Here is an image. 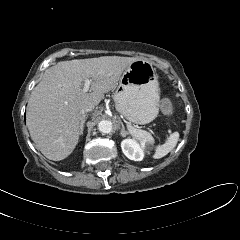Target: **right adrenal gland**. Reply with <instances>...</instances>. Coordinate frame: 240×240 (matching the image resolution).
<instances>
[{
    "label": "right adrenal gland",
    "instance_id": "1",
    "mask_svg": "<svg viewBox=\"0 0 240 240\" xmlns=\"http://www.w3.org/2000/svg\"><path fill=\"white\" fill-rule=\"evenodd\" d=\"M86 119H87V115L85 114L82 116L81 135H83L84 123H85Z\"/></svg>",
    "mask_w": 240,
    "mask_h": 240
}]
</instances>
